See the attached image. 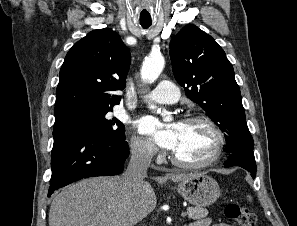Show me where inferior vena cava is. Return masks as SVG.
I'll return each instance as SVG.
<instances>
[{"mask_svg":"<svg viewBox=\"0 0 297 226\" xmlns=\"http://www.w3.org/2000/svg\"><path fill=\"white\" fill-rule=\"evenodd\" d=\"M154 155L151 146L138 144L132 148L131 159L123 174L125 185L130 190H136L144 184L147 169Z\"/></svg>","mask_w":297,"mask_h":226,"instance_id":"inferior-vena-cava-1","label":"inferior vena cava"}]
</instances>
